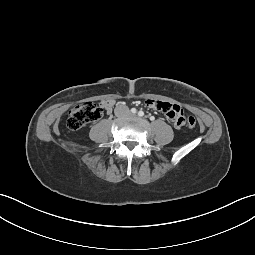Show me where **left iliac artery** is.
<instances>
[{
    "instance_id": "obj_1",
    "label": "left iliac artery",
    "mask_w": 255,
    "mask_h": 255,
    "mask_svg": "<svg viewBox=\"0 0 255 255\" xmlns=\"http://www.w3.org/2000/svg\"><path fill=\"white\" fill-rule=\"evenodd\" d=\"M138 116H140V117L144 116V112H143L142 110H140V111L138 112Z\"/></svg>"
}]
</instances>
